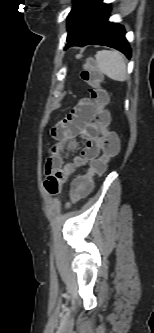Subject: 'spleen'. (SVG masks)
<instances>
[{
  "label": "spleen",
  "mask_w": 154,
  "mask_h": 333,
  "mask_svg": "<svg viewBox=\"0 0 154 333\" xmlns=\"http://www.w3.org/2000/svg\"><path fill=\"white\" fill-rule=\"evenodd\" d=\"M99 70L116 81L127 79L126 63L123 55L118 51L102 50L95 55Z\"/></svg>",
  "instance_id": "3e777b00"
}]
</instances>
